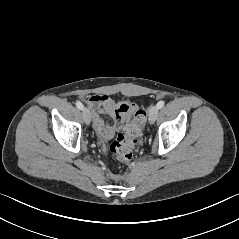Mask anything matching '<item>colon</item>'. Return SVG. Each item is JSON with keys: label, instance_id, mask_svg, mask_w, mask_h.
<instances>
[{"label": "colon", "instance_id": "obj_1", "mask_svg": "<svg viewBox=\"0 0 239 239\" xmlns=\"http://www.w3.org/2000/svg\"><path fill=\"white\" fill-rule=\"evenodd\" d=\"M146 113L139 110L134 119L125 125L124 130L117 139L111 144V156L118 161L128 162L131 160L133 151L136 148L143 132Z\"/></svg>", "mask_w": 239, "mask_h": 239}]
</instances>
